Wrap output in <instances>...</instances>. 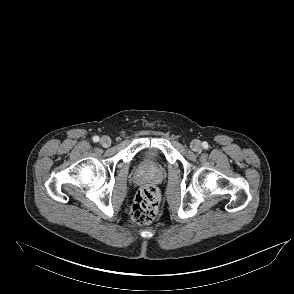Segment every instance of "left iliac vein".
Listing matches in <instances>:
<instances>
[{"mask_svg": "<svg viewBox=\"0 0 294 294\" xmlns=\"http://www.w3.org/2000/svg\"><path fill=\"white\" fill-rule=\"evenodd\" d=\"M202 148L201 142L199 140H193L191 142V149L195 152L200 151Z\"/></svg>", "mask_w": 294, "mask_h": 294, "instance_id": "1", "label": "left iliac vein"}]
</instances>
